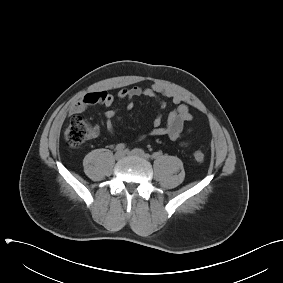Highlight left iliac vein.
<instances>
[{
    "label": "left iliac vein",
    "instance_id": "left-iliac-vein-1",
    "mask_svg": "<svg viewBox=\"0 0 283 283\" xmlns=\"http://www.w3.org/2000/svg\"><path fill=\"white\" fill-rule=\"evenodd\" d=\"M128 154L131 155V156L140 157L142 159H148L149 158L148 154H146L142 149H138V148H135V149L129 151Z\"/></svg>",
    "mask_w": 283,
    "mask_h": 283
}]
</instances>
